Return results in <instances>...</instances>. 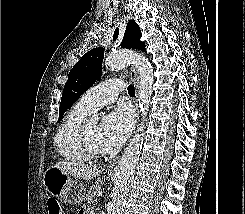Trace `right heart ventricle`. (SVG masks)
Returning <instances> with one entry per match:
<instances>
[{
    "instance_id": "e07e8e85",
    "label": "right heart ventricle",
    "mask_w": 245,
    "mask_h": 214,
    "mask_svg": "<svg viewBox=\"0 0 245 214\" xmlns=\"http://www.w3.org/2000/svg\"><path fill=\"white\" fill-rule=\"evenodd\" d=\"M89 113L91 111L78 102L70 109L58 128L53 143L63 160L72 163H81L85 160L77 145V134Z\"/></svg>"
}]
</instances>
